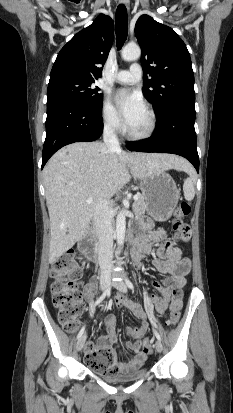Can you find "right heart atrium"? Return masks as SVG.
I'll return each mask as SVG.
<instances>
[{
  "mask_svg": "<svg viewBox=\"0 0 233 413\" xmlns=\"http://www.w3.org/2000/svg\"><path fill=\"white\" fill-rule=\"evenodd\" d=\"M101 116L102 122L107 129L114 132H118L122 129L123 125L121 118L115 107L108 99L103 102Z\"/></svg>",
  "mask_w": 233,
  "mask_h": 413,
  "instance_id": "right-heart-atrium-1",
  "label": "right heart atrium"
}]
</instances>
